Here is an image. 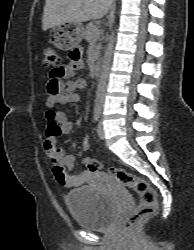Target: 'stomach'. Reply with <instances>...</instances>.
I'll list each match as a JSON object with an SVG mask.
<instances>
[{
    "label": "stomach",
    "instance_id": "stomach-1",
    "mask_svg": "<svg viewBox=\"0 0 194 250\" xmlns=\"http://www.w3.org/2000/svg\"><path fill=\"white\" fill-rule=\"evenodd\" d=\"M53 44L60 50L68 51L75 48L84 37L81 23H68L52 28Z\"/></svg>",
    "mask_w": 194,
    "mask_h": 250
}]
</instances>
